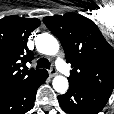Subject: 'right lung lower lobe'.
<instances>
[{
  "mask_svg": "<svg viewBox=\"0 0 114 114\" xmlns=\"http://www.w3.org/2000/svg\"><path fill=\"white\" fill-rule=\"evenodd\" d=\"M48 77L45 70L36 78L0 94V114H24L33 108L36 91Z\"/></svg>",
  "mask_w": 114,
  "mask_h": 114,
  "instance_id": "right-lung-lower-lobe-1",
  "label": "right lung lower lobe"
}]
</instances>
